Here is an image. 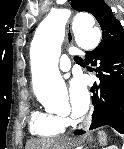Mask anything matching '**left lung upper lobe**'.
Instances as JSON below:
<instances>
[{
  "label": "left lung upper lobe",
  "mask_w": 124,
  "mask_h": 149,
  "mask_svg": "<svg viewBox=\"0 0 124 149\" xmlns=\"http://www.w3.org/2000/svg\"><path fill=\"white\" fill-rule=\"evenodd\" d=\"M77 11H86L94 15L102 29V40L93 51L119 46L124 43V30L112 10L103 0H70Z\"/></svg>",
  "instance_id": "1"
}]
</instances>
